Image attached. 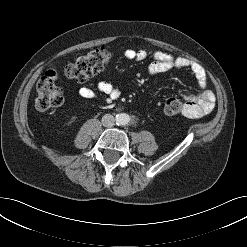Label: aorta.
<instances>
[{"mask_svg":"<svg viewBox=\"0 0 247 247\" xmlns=\"http://www.w3.org/2000/svg\"><path fill=\"white\" fill-rule=\"evenodd\" d=\"M115 120L118 125H127L130 122V116L126 113H121L116 116Z\"/></svg>","mask_w":247,"mask_h":247,"instance_id":"1","label":"aorta"}]
</instances>
